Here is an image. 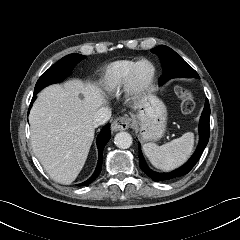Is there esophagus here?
I'll use <instances>...</instances> for the list:
<instances>
[{"mask_svg": "<svg viewBox=\"0 0 240 240\" xmlns=\"http://www.w3.org/2000/svg\"><path fill=\"white\" fill-rule=\"evenodd\" d=\"M131 119L129 117H118L111 125L113 131H122L129 128Z\"/></svg>", "mask_w": 240, "mask_h": 240, "instance_id": "34e87169", "label": "esophagus"}]
</instances>
